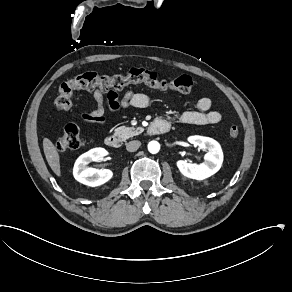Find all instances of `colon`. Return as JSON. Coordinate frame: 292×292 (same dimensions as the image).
<instances>
[{"label":"colon","mask_w":292,"mask_h":292,"mask_svg":"<svg viewBox=\"0 0 292 292\" xmlns=\"http://www.w3.org/2000/svg\"><path fill=\"white\" fill-rule=\"evenodd\" d=\"M142 83L146 86L161 91H179L189 94L193 91L194 83L190 76L180 75L175 78L161 77L156 71L143 67H132L124 75H99L95 72L70 79L62 83L55 98V106L58 111L66 112L72 107L75 92L80 90L100 89L120 90L129 84ZM229 134L232 137L239 135V128L231 126ZM82 137L77 127L67 125L63 128L56 142L59 151L76 150L82 147Z\"/></svg>","instance_id":"5ec220e1"}]
</instances>
